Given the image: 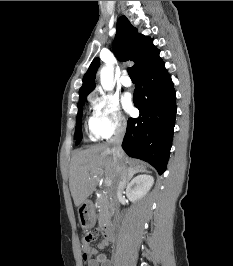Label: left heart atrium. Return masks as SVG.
Segmentation results:
<instances>
[{
  "mask_svg": "<svg viewBox=\"0 0 233 266\" xmlns=\"http://www.w3.org/2000/svg\"><path fill=\"white\" fill-rule=\"evenodd\" d=\"M123 106L127 112L133 111V102H132L131 96L129 94H126L123 97Z\"/></svg>",
  "mask_w": 233,
  "mask_h": 266,
  "instance_id": "39dd6f15",
  "label": "left heart atrium"
}]
</instances>
